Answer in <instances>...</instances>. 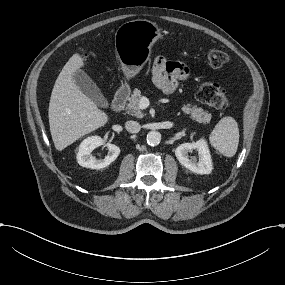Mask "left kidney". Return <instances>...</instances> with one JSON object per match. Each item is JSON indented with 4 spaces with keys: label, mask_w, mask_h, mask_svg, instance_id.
<instances>
[{
    "label": "left kidney",
    "mask_w": 285,
    "mask_h": 285,
    "mask_svg": "<svg viewBox=\"0 0 285 285\" xmlns=\"http://www.w3.org/2000/svg\"><path fill=\"white\" fill-rule=\"evenodd\" d=\"M195 151L196 155L188 158V153ZM179 162L187 169L200 175L209 174L212 169L210 155L203 140L194 143H184L175 151Z\"/></svg>",
    "instance_id": "obj_1"
}]
</instances>
